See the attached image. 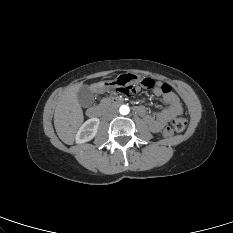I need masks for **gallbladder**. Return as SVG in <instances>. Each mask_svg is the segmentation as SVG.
Returning <instances> with one entry per match:
<instances>
[{
  "mask_svg": "<svg viewBox=\"0 0 233 233\" xmlns=\"http://www.w3.org/2000/svg\"><path fill=\"white\" fill-rule=\"evenodd\" d=\"M77 99L82 107L88 108L94 102V92L87 85H82L77 92Z\"/></svg>",
  "mask_w": 233,
  "mask_h": 233,
  "instance_id": "gallbladder-1",
  "label": "gallbladder"
}]
</instances>
